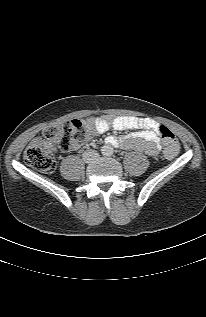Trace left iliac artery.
Instances as JSON below:
<instances>
[{
    "label": "left iliac artery",
    "mask_w": 206,
    "mask_h": 317,
    "mask_svg": "<svg viewBox=\"0 0 206 317\" xmlns=\"http://www.w3.org/2000/svg\"><path fill=\"white\" fill-rule=\"evenodd\" d=\"M113 154V152L112 151H110L109 153H108V155H112Z\"/></svg>",
    "instance_id": "1"
}]
</instances>
